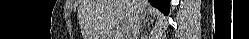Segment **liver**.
<instances>
[{
  "instance_id": "obj_1",
  "label": "liver",
  "mask_w": 249,
  "mask_h": 39,
  "mask_svg": "<svg viewBox=\"0 0 249 39\" xmlns=\"http://www.w3.org/2000/svg\"><path fill=\"white\" fill-rule=\"evenodd\" d=\"M149 8L147 0H82L79 20L85 39H107L111 30L122 23L131 27L136 11Z\"/></svg>"
}]
</instances>
